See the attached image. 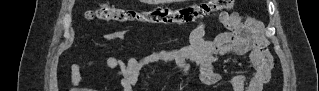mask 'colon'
I'll list each match as a JSON object with an SVG mask.
<instances>
[{
    "label": "colon",
    "instance_id": "colon-1",
    "mask_svg": "<svg viewBox=\"0 0 319 91\" xmlns=\"http://www.w3.org/2000/svg\"><path fill=\"white\" fill-rule=\"evenodd\" d=\"M232 0H211L181 8H155L135 10L110 4H102L87 12L89 20L117 23H143L155 25L190 24L220 10L231 8ZM262 66L269 70L272 57L268 52L261 58Z\"/></svg>",
    "mask_w": 319,
    "mask_h": 91
}]
</instances>
